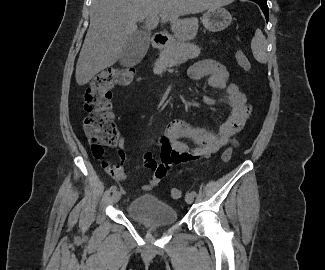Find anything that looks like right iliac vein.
I'll use <instances>...</instances> for the list:
<instances>
[{"mask_svg": "<svg viewBox=\"0 0 325 270\" xmlns=\"http://www.w3.org/2000/svg\"><path fill=\"white\" fill-rule=\"evenodd\" d=\"M121 198V192L120 191H115L113 192L111 196V202L112 203H117Z\"/></svg>", "mask_w": 325, "mask_h": 270, "instance_id": "1", "label": "right iliac vein"}]
</instances>
